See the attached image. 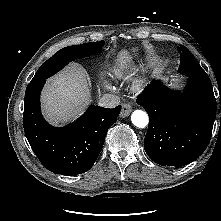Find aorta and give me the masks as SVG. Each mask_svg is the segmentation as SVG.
<instances>
[{
	"label": "aorta",
	"mask_w": 221,
	"mask_h": 221,
	"mask_svg": "<svg viewBox=\"0 0 221 221\" xmlns=\"http://www.w3.org/2000/svg\"><path fill=\"white\" fill-rule=\"evenodd\" d=\"M132 123L139 128H144L148 125L149 118L145 111L135 110L131 115Z\"/></svg>",
	"instance_id": "762f6f07"
}]
</instances>
